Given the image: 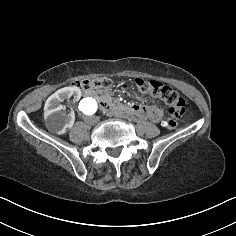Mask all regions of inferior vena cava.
I'll list each match as a JSON object with an SVG mask.
<instances>
[{"label":"inferior vena cava","instance_id":"obj_1","mask_svg":"<svg viewBox=\"0 0 236 236\" xmlns=\"http://www.w3.org/2000/svg\"><path fill=\"white\" fill-rule=\"evenodd\" d=\"M84 123L92 124L93 126H96L99 123V116H94L93 118H84Z\"/></svg>","mask_w":236,"mask_h":236}]
</instances>
